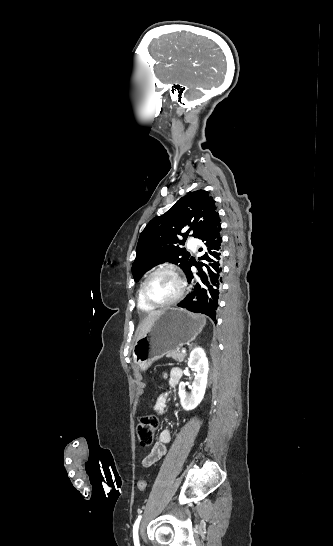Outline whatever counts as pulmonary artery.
Listing matches in <instances>:
<instances>
[{
  "mask_svg": "<svg viewBox=\"0 0 333 546\" xmlns=\"http://www.w3.org/2000/svg\"><path fill=\"white\" fill-rule=\"evenodd\" d=\"M188 246L193 250V251H196V248H197V242L194 238H189L188 239Z\"/></svg>",
  "mask_w": 333,
  "mask_h": 546,
  "instance_id": "e3ab8cb5",
  "label": "pulmonary artery"
}]
</instances>
